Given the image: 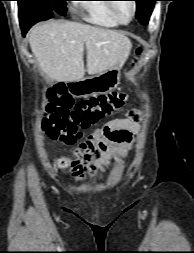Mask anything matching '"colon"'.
I'll use <instances>...</instances> for the list:
<instances>
[{"label":"colon","instance_id":"1","mask_svg":"<svg viewBox=\"0 0 194 253\" xmlns=\"http://www.w3.org/2000/svg\"><path fill=\"white\" fill-rule=\"evenodd\" d=\"M142 50L137 49V55ZM50 104L47 107V117L44 128L53 139H59L66 144H73L81 138V130L97 123L102 118L119 110L127 100L122 91L93 96L73 104L72 97L64 86H58L49 91ZM65 158L59 160V165L67 166Z\"/></svg>","mask_w":194,"mask_h":253}]
</instances>
